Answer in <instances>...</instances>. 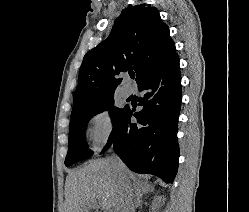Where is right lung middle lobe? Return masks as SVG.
Returning a JSON list of instances; mask_svg holds the SVG:
<instances>
[{
    "instance_id": "dd1d6c3e",
    "label": "right lung middle lobe",
    "mask_w": 249,
    "mask_h": 212,
    "mask_svg": "<svg viewBox=\"0 0 249 212\" xmlns=\"http://www.w3.org/2000/svg\"><path fill=\"white\" fill-rule=\"evenodd\" d=\"M113 97L110 96L92 105L72 110L69 125L68 153L65 159L66 166L92 156L93 151L88 149L85 141V129L93 116L109 110L113 125L122 117L125 108L114 107Z\"/></svg>"
}]
</instances>
